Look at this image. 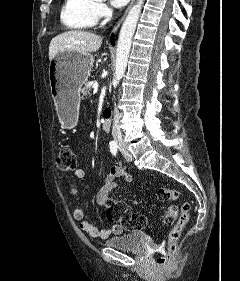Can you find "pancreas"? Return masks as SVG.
I'll return each instance as SVG.
<instances>
[{
    "instance_id": "obj_1",
    "label": "pancreas",
    "mask_w": 240,
    "mask_h": 281,
    "mask_svg": "<svg viewBox=\"0 0 240 281\" xmlns=\"http://www.w3.org/2000/svg\"><path fill=\"white\" fill-rule=\"evenodd\" d=\"M92 86V83L91 82H87L85 84V86L82 88L81 90V93H82V96L87 98L89 95H90V88Z\"/></svg>"
}]
</instances>
